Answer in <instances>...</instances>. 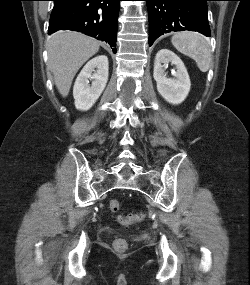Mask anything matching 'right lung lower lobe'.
Here are the masks:
<instances>
[{
  "label": "right lung lower lobe",
  "mask_w": 250,
  "mask_h": 285,
  "mask_svg": "<svg viewBox=\"0 0 250 285\" xmlns=\"http://www.w3.org/2000/svg\"><path fill=\"white\" fill-rule=\"evenodd\" d=\"M48 33L75 30L116 47L121 0H53ZM116 53V49H113Z\"/></svg>",
  "instance_id": "98d812e1"
}]
</instances>
